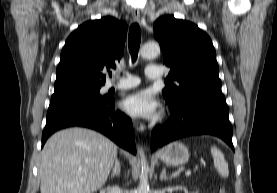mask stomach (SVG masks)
I'll list each match as a JSON object with an SVG mask.
<instances>
[{"mask_svg": "<svg viewBox=\"0 0 277 193\" xmlns=\"http://www.w3.org/2000/svg\"><path fill=\"white\" fill-rule=\"evenodd\" d=\"M189 156L188 148L180 142H173L165 146L160 153L161 160L170 166L185 164L189 160Z\"/></svg>", "mask_w": 277, "mask_h": 193, "instance_id": "obj_1", "label": "stomach"}]
</instances>
